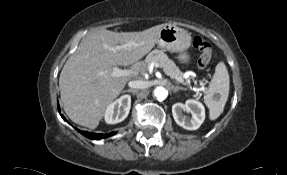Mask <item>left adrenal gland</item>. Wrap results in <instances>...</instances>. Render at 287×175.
<instances>
[{"label":"left adrenal gland","instance_id":"1","mask_svg":"<svg viewBox=\"0 0 287 175\" xmlns=\"http://www.w3.org/2000/svg\"><path fill=\"white\" fill-rule=\"evenodd\" d=\"M171 89H172V91L175 93V92H177L178 90H183V88L182 87H179V86H171Z\"/></svg>","mask_w":287,"mask_h":175}]
</instances>
